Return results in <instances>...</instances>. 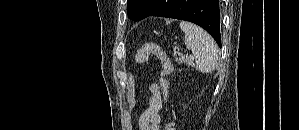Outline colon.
<instances>
[{
	"label": "colon",
	"mask_w": 299,
	"mask_h": 130,
	"mask_svg": "<svg viewBox=\"0 0 299 130\" xmlns=\"http://www.w3.org/2000/svg\"><path fill=\"white\" fill-rule=\"evenodd\" d=\"M150 55H154L161 60L164 73H169L172 70V62L161 48L155 43H145L137 50L134 60L137 65H141L147 61ZM163 93L165 96L169 94V85L166 81H162ZM164 130H174L170 123L165 125Z\"/></svg>",
	"instance_id": "colon-1"
}]
</instances>
